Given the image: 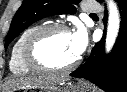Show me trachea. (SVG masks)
I'll return each mask as SVG.
<instances>
[{
  "label": "trachea",
  "instance_id": "3493384b",
  "mask_svg": "<svg viewBox=\"0 0 127 92\" xmlns=\"http://www.w3.org/2000/svg\"><path fill=\"white\" fill-rule=\"evenodd\" d=\"M90 16H97L96 14H94V13H92V14H90Z\"/></svg>",
  "mask_w": 127,
  "mask_h": 92
}]
</instances>
